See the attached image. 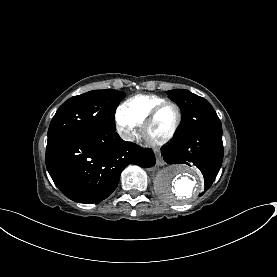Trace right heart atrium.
Listing matches in <instances>:
<instances>
[{
	"label": "right heart atrium",
	"mask_w": 277,
	"mask_h": 277,
	"mask_svg": "<svg viewBox=\"0 0 277 277\" xmlns=\"http://www.w3.org/2000/svg\"><path fill=\"white\" fill-rule=\"evenodd\" d=\"M117 122L118 129L123 138L130 139L134 135L137 124L133 120L122 116H118Z\"/></svg>",
	"instance_id": "right-heart-atrium-1"
}]
</instances>
